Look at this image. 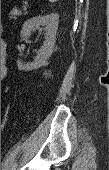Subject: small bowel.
Instances as JSON below:
<instances>
[{
  "instance_id": "obj_1",
  "label": "small bowel",
  "mask_w": 109,
  "mask_h": 170,
  "mask_svg": "<svg viewBox=\"0 0 109 170\" xmlns=\"http://www.w3.org/2000/svg\"><path fill=\"white\" fill-rule=\"evenodd\" d=\"M2 47L6 46V43L4 41L1 42ZM3 77V76H2Z\"/></svg>"
}]
</instances>
